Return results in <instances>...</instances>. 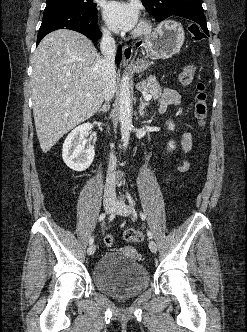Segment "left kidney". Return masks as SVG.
Returning a JSON list of instances; mask_svg holds the SVG:
<instances>
[{"instance_id": "5707ae66", "label": "left kidney", "mask_w": 247, "mask_h": 332, "mask_svg": "<svg viewBox=\"0 0 247 332\" xmlns=\"http://www.w3.org/2000/svg\"><path fill=\"white\" fill-rule=\"evenodd\" d=\"M168 124V129L169 130H174V125H173V123L172 122H170V123H167ZM168 146H169V149L171 150H173L174 148H175V145H174V142L173 141H170L169 142V144H168Z\"/></svg>"}]
</instances>
